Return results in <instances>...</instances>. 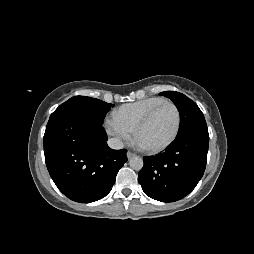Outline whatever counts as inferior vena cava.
<instances>
[{
  "label": "inferior vena cava",
  "mask_w": 254,
  "mask_h": 254,
  "mask_svg": "<svg viewBox=\"0 0 254 254\" xmlns=\"http://www.w3.org/2000/svg\"><path fill=\"white\" fill-rule=\"evenodd\" d=\"M107 143L110 148L116 150L122 149L124 147L123 142L118 138H110L108 139Z\"/></svg>",
  "instance_id": "1"
}]
</instances>
